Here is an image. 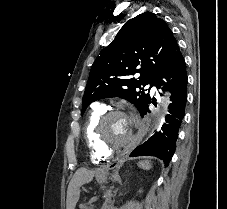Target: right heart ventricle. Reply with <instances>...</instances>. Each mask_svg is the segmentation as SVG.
I'll return each mask as SVG.
<instances>
[{"label": "right heart ventricle", "instance_id": "1", "mask_svg": "<svg viewBox=\"0 0 227 209\" xmlns=\"http://www.w3.org/2000/svg\"><path fill=\"white\" fill-rule=\"evenodd\" d=\"M104 113L103 107L94 108L87 117V120L83 126L82 133L83 138L88 147L90 160L94 164H103L108 162L112 155L106 154L101 151V149L97 146L94 139V127L98 118Z\"/></svg>", "mask_w": 227, "mask_h": 209}]
</instances>
